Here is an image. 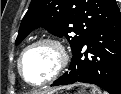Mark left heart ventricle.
<instances>
[{
    "label": "left heart ventricle",
    "instance_id": "left-heart-ventricle-1",
    "mask_svg": "<svg viewBox=\"0 0 121 94\" xmlns=\"http://www.w3.org/2000/svg\"><path fill=\"white\" fill-rule=\"evenodd\" d=\"M56 60V53L51 47L39 46L24 56L22 70L29 81L39 83L51 75Z\"/></svg>",
    "mask_w": 121,
    "mask_h": 94
}]
</instances>
